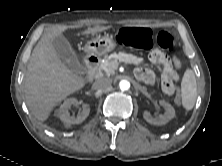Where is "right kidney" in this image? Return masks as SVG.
<instances>
[{
	"label": "right kidney",
	"instance_id": "right-kidney-1",
	"mask_svg": "<svg viewBox=\"0 0 222 166\" xmlns=\"http://www.w3.org/2000/svg\"><path fill=\"white\" fill-rule=\"evenodd\" d=\"M77 103H78L77 99L68 98L60 106V108L56 111V116L61 119V121L65 124V127H70L73 124H80L89 115L90 106L87 103H83L81 113H79V115L77 117L70 116L68 109L73 105H77Z\"/></svg>",
	"mask_w": 222,
	"mask_h": 166
}]
</instances>
